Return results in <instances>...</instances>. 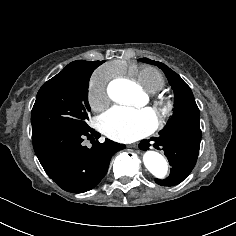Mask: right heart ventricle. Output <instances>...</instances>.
Here are the masks:
<instances>
[{"instance_id": "obj_1", "label": "right heart ventricle", "mask_w": 236, "mask_h": 236, "mask_svg": "<svg viewBox=\"0 0 236 236\" xmlns=\"http://www.w3.org/2000/svg\"><path fill=\"white\" fill-rule=\"evenodd\" d=\"M117 74L128 75L130 77L129 81L137 83L150 94L158 93L165 86L163 76L151 67L128 69L126 65H122L117 71Z\"/></svg>"}]
</instances>
